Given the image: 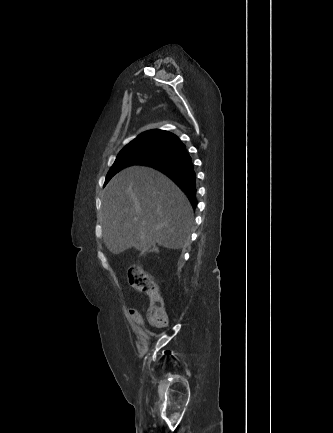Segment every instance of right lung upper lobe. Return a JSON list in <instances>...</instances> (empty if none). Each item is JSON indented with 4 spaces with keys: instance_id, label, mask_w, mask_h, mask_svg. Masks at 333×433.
I'll return each mask as SVG.
<instances>
[{
    "instance_id": "right-lung-upper-lobe-1",
    "label": "right lung upper lobe",
    "mask_w": 333,
    "mask_h": 433,
    "mask_svg": "<svg viewBox=\"0 0 333 433\" xmlns=\"http://www.w3.org/2000/svg\"><path fill=\"white\" fill-rule=\"evenodd\" d=\"M179 140V138L177 136H175L174 134L168 132V131H163V130H149L146 131L142 134H140L139 136H137L134 140H132L128 145L126 146H132V145H137L143 142H148V141H153V142H157L160 143L162 145H164L167 141L169 140H174V138Z\"/></svg>"
}]
</instances>
